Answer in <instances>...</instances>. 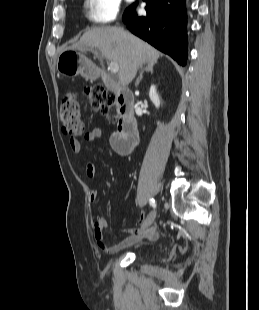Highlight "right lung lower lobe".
<instances>
[{
  "label": "right lung lower lobe",
  "mask_w": 259,
  "mask_h": 310,
  "mask_svg": "<svg viewBox=\"0 0 259 310\" xmlns=\"http://www.w3.org/2000/svg\"><path fill=\"white\" fill-rule=\"evenodd\" d=\"M143 1L147 15L138 17L135 5L130 6L123 14L127 28L184 66L187 60L185 0Z\"/></svg>",
  "instance_id": "right-lung-lower-lobe-1"
}]
</instances>
